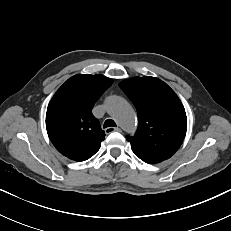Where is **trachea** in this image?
Wrapping results in <instances>:
<instances>
[{"label":"trachea","instance_id":"trachea-1","mask_svg":"<svg viewBox=\"0 0 231 231\" xmlns=\"http://www.w3.org/2000/svg\"><path fill=\"white\" fill-rule=\"evenodd\" d=\"M104 128H108V127H116V123L112 120V119H107L104 122Z\"/></svg>","mask_w":231,"mask_h":231}]
</instances>
